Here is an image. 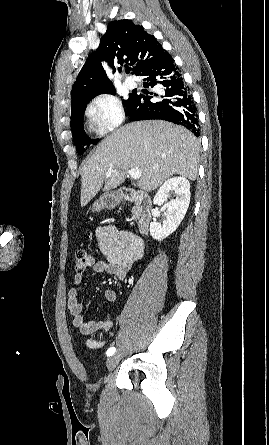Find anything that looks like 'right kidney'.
<instances>
[{
    "mask_svg": "<svg viewBox=\"0 0 269 445\" xmlns=\"http://www.w3.org/2000/svg\"><path fill=\"white\" fill-rule=\"evenodd\" d=\"M172 191H175L176 197L167 202L168 194ZM190 195V183L184 177L170 178L159 188L153 203L166 208V220L163 225L151 222L150 234L154 239L162 241L178 228L188 210Z\"/></svg>",
    "mask_w": 269,
    "mask_h": 445,
    "instance_id": "ca27d5eb",
    "label": "right kidney"
}]
</instances>
